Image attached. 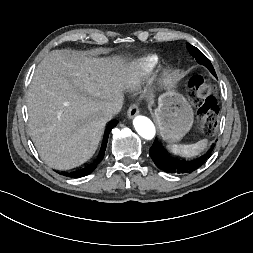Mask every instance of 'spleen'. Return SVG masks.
Instances as JSON below:
<instances>
[{
    "label": "spleen",
    "mask_w": 253,
    "mask_h": 253,
    "mask_svg": "<svg viewBox=\"0 0 253 253\" xmlns=\"http://www.w3.org/2000/svg\"><path fill=\"white\" fill-rule=\"evenodd\" d=\"M207 145V140L202 139L191 145H177L174 144L171 146V149L175 153H181L185 156H194L203 150Z\"/></svg>",
    "instance_id": "obj_1"
}]
</instances>
